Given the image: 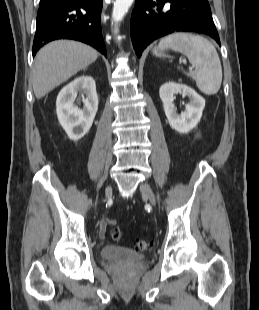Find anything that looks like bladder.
Returning <instances> with one entry per match:
<instances>
[{"instance_id":"31cf9c89","label":"bladder","mask_w":259,"mask_h":310,"mask_svg":"<svg viewBox=\"0 0 259 310\" xmlns=\"http://www.w3.org/2000/svg\"><path fill=\"white\" fill-rule=\"evenodd\" d=\"M100 256L105 261L131 263L145 259L143 254L119 245L108 244L100 250Z\"/></svg>"}]
</instances>
